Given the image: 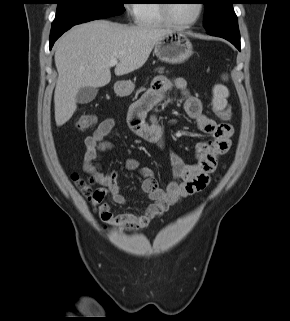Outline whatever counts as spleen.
Masks as SVG:
<instances>
[{"instance_id":"1","label":"spleen","mask_w":290,"mask_h":321,"mask_svg":"<svg viewBox=\"0 0 290 321\" xmlns=\"http://www.w3.org/2000/svg\"><path fill=\"white\" fill-rule=\"evenodd\" d=\"M227 78V77H225ZM229 96L228 88L224 85L217 84L213 88V107L216 110H223L227 105L226 98Z\"/></svg>"}]
</instances>
